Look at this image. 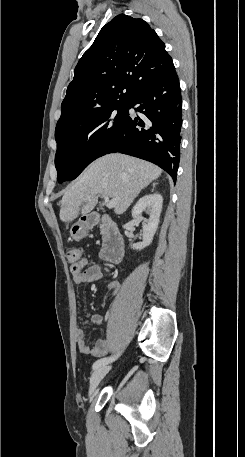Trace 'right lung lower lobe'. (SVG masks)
<instances>
[{"label": "right lung lower lobe", "instance_id": "98d812e1", "mask_svg": "<svg viewBox=\"0 0 245 457\" xmlns=\"http://www.w3.org/2000/svg\"><path fill=\"white\" fill-rule=\"evenodd\" d=\"M144 118L128 117L108 153L153 162L176 180L180 160L182 98L175 69L147 81L129 101Z\"/></svg>", "mask_w": 245, "mask_h": 457}]
</instances>
